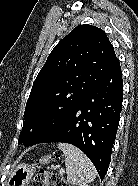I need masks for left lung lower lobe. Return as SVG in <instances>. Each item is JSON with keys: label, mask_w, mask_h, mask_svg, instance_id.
<instances>
[{"label": "left lung lower lobe", "mask_w": 138, "mask_h": 186, "mask_svg": "<svg viewBox=\"0 0 138 186\" xmlns=\"http://www.w3.org/2000/svg\"><path fill=\"white\" fill-rule=\"evenodd\" d=\"M122 101L123 81L118 62L93 86L63 123L37 143L63 142L78 147L103 179L111 159Z\"/></svg>", "instance_id": "0a47b994"}]
</instances>
